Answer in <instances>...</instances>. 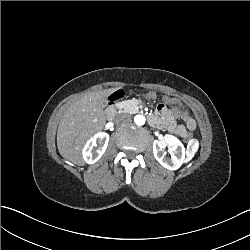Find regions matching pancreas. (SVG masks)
Here are the masks:
<instances>
[{
    "label": "pancreas",
    "mask_w": 250,
    "mask_h": 250,
    "mask_svg": "<svg viewBox=\"0 0 250 250\" xmlns=\"http://www.w3.org/2000/svg\"><path fill=\"white\" fill-rule=\"evenodd\" d=\"M136 106H137V102L136 101H131V102L128 103L126 108H127V110H131V109H135Z\"/></svg>",
    "instance_id": "1"
}]
</instances>
